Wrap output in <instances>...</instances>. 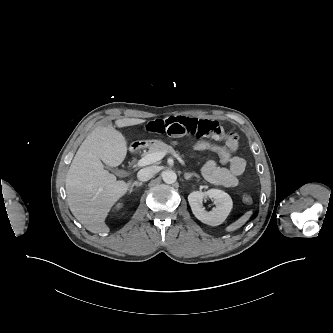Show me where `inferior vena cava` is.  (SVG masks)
<instances>
[{
    "label": "inferior vena cava",
    "mask_w": 333,
    "mask_h": 333,
    "mask_svg": "<svg viewBox=\"0 0 333 333\" xmlns=\"http://www.w3.org/2000/svg\"><path fill=\"white\" fill-rule=\"evenodd\" d=\"M157 173V169L155 167H145L141 169L137 177L141 182H145L150 180Z\"/></svg>",
    "instance_id": "obj_1"
}]
</instances>
